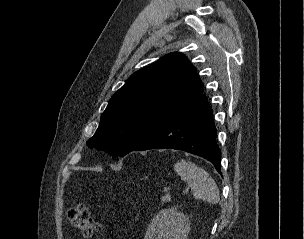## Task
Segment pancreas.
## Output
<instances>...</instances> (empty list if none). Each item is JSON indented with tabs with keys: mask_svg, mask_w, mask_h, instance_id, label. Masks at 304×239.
I'll use <instances>...</instances> for the list:
<instances>
[{
	"mask_svg": "<svg viewBox=\"0 0 304 239\" xmlns=\"http://www.w3.org/2000/svg\"><path fill=\"white\" fill-rule=\"evenodd\" d=\"M168 200H169V198L167 196H165L161 199V202L164 203V202H167Z\"/></svg>",
	"mask_w": 304,
	"mask_h": 239,
	"instance_id": "cf45deb5",
	"label": "pancreas"
}]
</instances>
